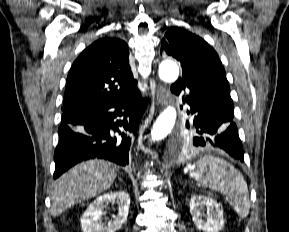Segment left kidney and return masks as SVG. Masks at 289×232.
Listing matches in <instances>:
<instances>
[{
  "label": "left kidney",
  "instance_id": "1",
  "mask_svg": "<svg viewBox=\"0 0 289 232\" xmlns=\"http://www.w3.org/2000/svg\"><path fill=\"white\" fill-rule=\"evenodd\" d=\"M190 213L194 225L204 232H219L224 226L223 209L210 197L192 195Z\"/></svg>",
  "mask_w": 289,
  "mask_h": 232
}]
</instances>
